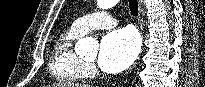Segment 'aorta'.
<instances>
[{
  "label": "aorta",
  "mask_w": 205,
  "mask_h": 87,
  "mask_svg": "<svg viewBox=\"0 0 205 87\" xmlns=\"http://www.w3.org/2000/svg\"><path fill=\"white\" fill-rule=\"evenodd\" d=\"M119 0H97V6L100 9H109L115 6ZM77 47L83 51H96L97 43L96 40L92 37H86L80 39L77 43Z\"/></svg>",
  "instance_id": "762f6f07"
}]
</instances>
